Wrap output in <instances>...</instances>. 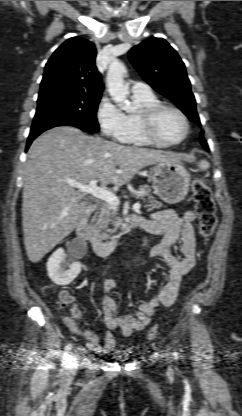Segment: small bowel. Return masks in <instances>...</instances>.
Here are the masks:
<instances>
[{
    "label": "small bowel",
    "instance_id": "small-bowel-1",
    "mask_svg": "<svg viewBox=\"0 0 242 416\" xmlns=\"http://www.w3.org/2000/svg\"><path fill=\"white\" fill-rule=\"evenodd\" d=\"M196 214L192 210L184 212L181 216L172 210H161L153 213L149 219H142V228L151 234L163 235L160 244L155 245L150 252L154 259L161 260L169 269V278L163 289L147 301L138 303L133 314L120 316L118 307L110 293L115 289L116 283L108 278L103 282V314L104 323L108 331L102 335L88 329H81L77 320L82 316L81 308L74 304L70 316L63 318L64 325L75 336L87 341V348L100 355L112 353L116 347V339L112 331L120 329L124 336H129L134 331L145 329L156 314L159 306H171L179 292L182 278L196 264V246L193 222ZM181 241V257L173 252L174 245ZM70 301L72 297L64 291Z\"/></svg>",
    "mask_w": 242,
    "mask_h": 416
}]
</instances>
